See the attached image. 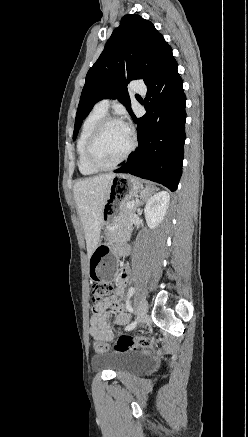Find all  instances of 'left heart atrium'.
<instances>
[{"label":"left heart atrium","instance_id":"39dd6f15","mask_svg":"<svg viewBox=\"0 0 248 437\" xmlns=\"http://www.w3.org/2000/svg\"><path fill=\"white\" fill-rule=\"evenodd\" d=\"M122 125L124 126V128L126 129V131H127L128 133H130V127H129V125H128V124H125V123H123Z\"/></svg>","mask_w":248,"mask_h":437}]
</instances>
